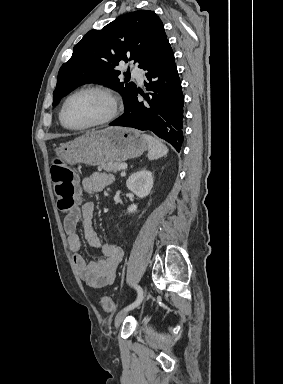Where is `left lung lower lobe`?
<instances>
[{
	"mask_svg": "<svg viewBox=\"0 0 283 384\" xmlns=\"http://www.w3.org/2000/svg\"><path fill=\"white\" fill-rule=\"evenodd\" d=\"M144 70L150 81L145 82L150 93L143 95L148 103L138 101L136 89L126 104L125 113L110 125L150 130L179 152L183 143L184 96L169 41Z\"/></svg>",
	"mask_w": 283,
	"mask_h": 384,
	"instance_id": "left-lung-lower-lobe-1",
	"label": "left lung lower lobe"
}]
</instances>
